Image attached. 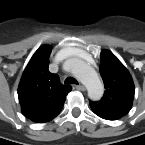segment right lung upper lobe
<instances>
[{
	"instance_id": "right-lung-upper-lobe-1",
	"label": "right lung upper lobe",
	"mask_w": 145,
	"mask_h": 145,
	"mask_svg": "<svg viewBox=\"0 0 145 145\" xmlns=\"http://www.w3.org/2000/svg\"><path fill=\"white\" fill-rule=\"evenodd\" d=\"M52 48L41 46L25 68L19 87L18 98L25 117L37 123L55 118L61 111L71 87L63 86L59 76L48 70Z\"/></svg>"
}]
</instances>
